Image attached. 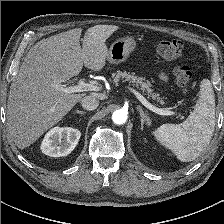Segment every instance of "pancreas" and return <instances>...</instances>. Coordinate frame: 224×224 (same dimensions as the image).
Segmentation results:
<instances>
[{"label": "pancreas", "mask_w": 224, "mask_h": 224, "mask_svg": "<svg viewBox=\"0 0 224 224\" xmlns=\"http://www.w3.org/2000/svg\"><path fill=\"white\" fill-rule=\"evenodd\" d=\"M112 78L115 83H117L120 78H122L124 81L136 83V85H140L141 90L143 92H146L150 97L162 101V98L159 97V94L153 93L151 84L149 82H145V79L143 77H137L134 74L127 73L126 71L122 72L118 70L116 73L112 74Z\"/></svg>", "instance_id": "obj_1"}]
</instances>
